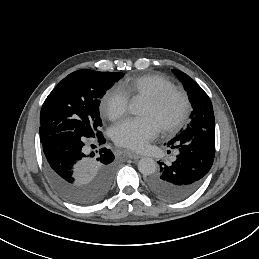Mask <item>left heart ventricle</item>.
Returning a JSON list of instances; mask_svg holds the SVG:
<instances>
[{
    "instance_id": "b2bd125f",
    "label": "left heart ventricle",
    "mask_w": 259,
    "mask_h": 259,
    "mask_svg": "<svg viewBox=\"0 0 259 259\" xmlns=\"http://www.w3.org/2000/svg\"><path fill=\"white\" fill-rule=\"evenodd\" d=\"M180 110L181 103L179 99L169 101L160 109L152 106L147 99L142 116L155 118L161 126L162 124L173 122L179 115Z\"/></svg>"
}]
</instances>
